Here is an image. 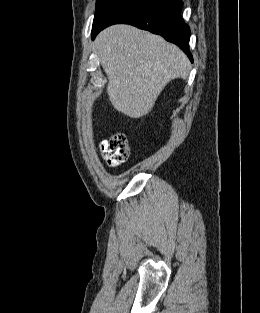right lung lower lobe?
I'll use <instances>...</instances> for the list:
<instances>
[{"label":"right lung lower lobe","instance_id":"obj_1","mask_svg":"<svg viewBox=\"0 0 260 313\" xmlns=\"http://www.w3.org/2000/svg\"><path fill=\"white\" fill-rule=\"evenodd\" d=\"M181 0H119L92 28V39L112 24L125 23L161 35L179 46L189 57L190 28L180 15Z\"/></svg>","mask_w":260,"mask_h":313}]
</instances>
